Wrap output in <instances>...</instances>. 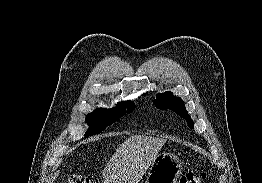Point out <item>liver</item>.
<instances>
[{
  "label": "liver",
  "instance_id": "1",
  "mask_svg": "<svg viewBox=\"0 0 262 183\" xmlns=\"http://www.w3.org/2000/svg\"><path fill=\"white\" fill-rule=\"evenodd\" d=\"M165 139L133 135L114 152L103 171L104 183H139Z\"/></svg>",
  "mask_w": 262,
  "mask_h": 183
}]
</instances>
